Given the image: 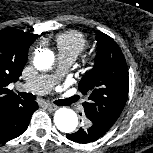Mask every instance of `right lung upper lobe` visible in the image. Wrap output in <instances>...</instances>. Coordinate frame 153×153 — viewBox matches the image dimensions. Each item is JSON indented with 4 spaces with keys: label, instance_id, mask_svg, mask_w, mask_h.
I'll return each mask as SVG.
<instances>
[{
    "label": "right lung upper lobe",
    "instance_id": "right-lung-upper-lobe-1",
    "mask_svg": "<svg viewBox=\"0 0 153 153\" xmlns=\"http://www.w3.org/2000/svg\"><path fill=\"white\" fill-rule=\"evenodd\" d=\"M37 37L12 27L0 30V119L23 102L7 86L19 79L27 62L28 49Z\"/></svg>",
    "mask_w": 153,
    "mask_h": 153
}]
</instances>
